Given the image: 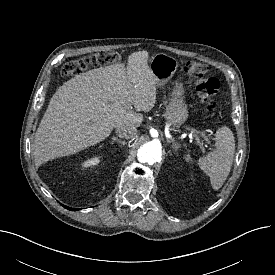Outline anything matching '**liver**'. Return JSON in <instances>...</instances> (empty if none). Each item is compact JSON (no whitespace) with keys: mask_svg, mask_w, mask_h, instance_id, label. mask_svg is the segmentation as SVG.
Instances as JSON below:
<instances>
[{"mask_svg":"<svg viewBox=\"0 0 275 275\" xmlns=\"http://www.w3.org/2000/svg\"><path fill=\"white\" fill-rule=\"evenodd\" d=\"M148 52H134L123 63L100 67L65 82L51 98L34 136L37 166L106 139L121 125L139 127L141 114L156 103V79Z\"/></svg>","mask_w":275,"mask_h":275,"instance_id":"6515ba94","label":"liver"}]
</instances>
